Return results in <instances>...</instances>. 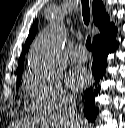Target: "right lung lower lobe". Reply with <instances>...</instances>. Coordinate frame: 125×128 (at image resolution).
Returning a JSON list of instances; mask_svg holds the SVG:
<instances>
[{
    "label": "right lung lower lobe",
    "instance_id": "right-lung-lower-lobe-1",
    "mask_svg": "<svg viewBox=\"0 0 125 128\" xmlns=\"http://www.w3.org/2000/svg\"><path fill=\"white\" fill-rule=\"evenodd\" d=\"M117 33L116 27L113 25L103 34L99 35L93 40V64L92 72L95 79L94 85L89 89L85 90L84 98V115L89 121L94 122L98 114V108L95 107L94 98L99 92V82L103 78L105 68L107 66L106 57L109 53L114 52L118 43L115 40Z\"/></svg>",
    "mask_w": 125,
    "mask_h": 128
}]
</instances>
